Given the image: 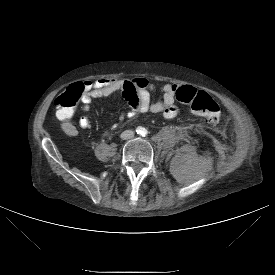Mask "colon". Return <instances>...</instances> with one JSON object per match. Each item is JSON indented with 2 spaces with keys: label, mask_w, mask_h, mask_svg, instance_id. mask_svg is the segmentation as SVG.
<instances>
[{
  "label": "colon",
  "mask_w": 275,
  "mask_h": 275,
  "mask_svg": "<svg viewBox=\"0 0 275 275\" xmlns=\"http://www.w3.org/2000/svg\"><path fill=\"white\" fill-rule=\"evenodd\" d=\"M80 93V88L75 85L56 97L54 104L59 117L67 120L73 116L80 100ZM176 98L182 105L190 107L191 110L206 117L210 122H217L221 117L219 104L206 91L184 86L178 89Z\"/></svg>",
  "instance_id": "obj_1"
}]
</instances>
